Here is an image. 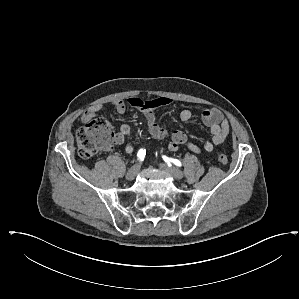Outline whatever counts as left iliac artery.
<instances>
[{"label":"left iliac artery","instance_id":"left-iliac-artery-1","mask_svg":"<svg viewBox=\"0 0 299 299\" xmlns=\"http://www.w3.org/2000/svg\"><path fill=\"white\" fill-rule=\"evenodd\" d=\"M162 157H163L164 161H165L166 163H168V164L173 163V164H175L176 166H179V167L182 166L181 162H180L179 160H177V159L169 158V157H167V156H162Z\"/></svg>","mask_w":299,"mask_h":299}]
</instances>
